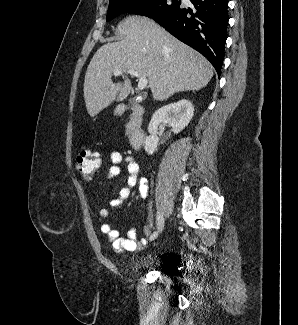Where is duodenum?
Here are the masks:
<instances>
[{"mask_svg":"<svg viewBox=\"0 0 298 325\" xmlns=\"http://www.w3.org/2000/svg\"><path fill=\"white\" fill-rule=\"evenodd\" d=\"M122 111H129V144L134 150L140 149L146 138L145 131L142 128V119L144 117V108L139 104L124 106Z\"/></svg>","mask_w":298,"mask_h":325,"instance_id":"duodenum-1","label":"duodenum"}]
</instances>
